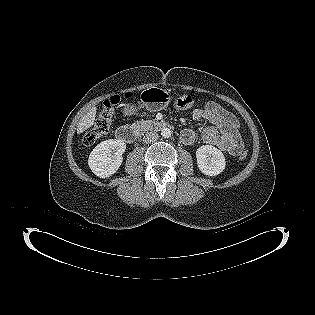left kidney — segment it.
I'll return each instance as SVG.
<instances>
[{
	"instance_id": "left-kidney-1",
	"label": "left kidney",
	"mask_w": 315,
	"mask_h": 315,
	"mask_svg": "<svg viewBox=\"0 0 315 315\" xmlns=\"http://www.w3.org/2000/svg\"><path fill=\"white\" fill-rule=\"evenodd\" d=\"M196 159L199 170L207 176L222 173L226 166L223 153L211 145L199 147L196 151Z\"/></svg>"
}]
</instances>
